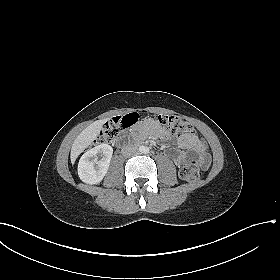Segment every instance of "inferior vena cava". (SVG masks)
Segmentation results:
<instances>
[{
	"label": "inferior vena cava",
	"instance_id": "obj_1",
	"mask_svg": "<svg viewBox=\"0 0 280 280\" xmlns=\"http://www.w3.org/2000/svg\"><path fill=\"white\" fill-rule=\"evenodd\" d=\"M121 153L125 157H130L132 155H137L138 154V148L136 146H133V145H127L122 149Z\"/></svg>",
	"mask_w": 280,
	"mask_h": 280
}]
</instances>
